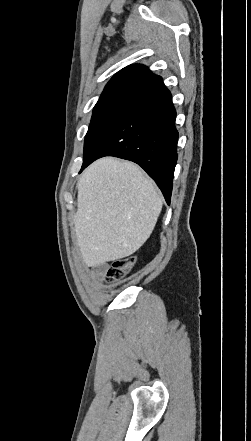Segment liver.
<instances>
[{
	"label": "liver",
	"instance_id": "liver-1",
	"mask_svg": "<svg viewBox=\"0 0 251 441\" xmlns=\"http://www.w3.org/2000/svg\"><path fill=\"white\" fill-rule=\"evenodd\" d=\"M162 198L136 164L104 157L78 182L74 216L83 262L98 266L136 252L152 234Z\"/></svg>",
	"mask_w": 251,
	"mask_h": 441
}]
</instances>
